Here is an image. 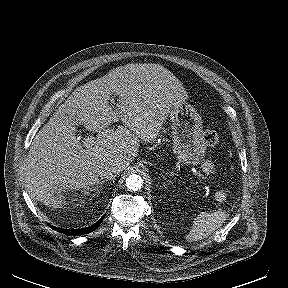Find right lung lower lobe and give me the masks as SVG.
Instances as JSON below:
<instances>
[{
    "label": "right lung lower lobe",
    "mask_w": 288,
    "mask_h": 288,
    "mask_svg": "<svg viewBox=\"0 0 288 288\" xmlns=\"http://www.w3.org/2000/svg\"><path fill=\"white\" fill-rule=\"evenodd\" d=\"M103 218L104 217H102L98 222H96L92 226L82 228V229L64 230V229L55 228V227H52V228H54L55 230L65 234V235H82V234L90 233V232H93L94 230H96L98 228V226L100 225V223L102 222Z\"/></svg>",
    "instance_id": "obj_1"
}]
</instances>
